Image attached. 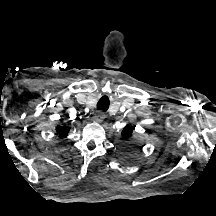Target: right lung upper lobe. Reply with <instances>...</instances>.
I'll return each mask as SVG.
<instances>
[{"label":"right lung upper lobe","mask_w":216,"mask_h":216,"mask_svg":"<svg viewBox=\"0 0 216 216\" xmlns=\"http://www.w3.org/2000/svg\"><path fill=\"white\" fill-rule=\"evenodd\" d=\"M69 129H70L69 127L57 126L56 127V132L61 137H64V136H66L69 133Z\"/></svg>","instance_id":"obj_1"}]
</instances>
